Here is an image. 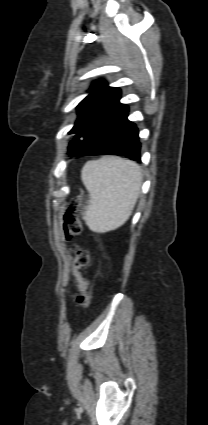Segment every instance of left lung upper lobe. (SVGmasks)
Instances as JSON below:
<instances>
[{
    "label": "left lung upper lobe",
    "instance_id": "5c2ea615",
    "mask_svg": "<svg viewBox=\"0 0 208 425\" xmlns=\"http://www.w3.org/2000/svg\"><path fill=\"white\" fill-rule=\"evenodd\" d=\"M119 96V88L109 87L103 81L95 82L91 86L90 94L77 106L78 119L74 127L69 131V134H77L84 129L106 106ZM68 149L69 155H80V142L74 138L70 142Z\"/></svg>",
    "mask_w": 208,
    "mask_h": 425
}]
</instances>
